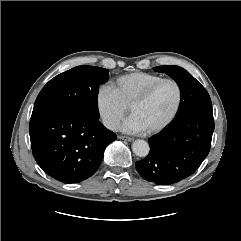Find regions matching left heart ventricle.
<instances>
[{
	"label": "left heart ventricle",
	"mask_w": 241,
	"mask_h": 241,
	"mask_svg": "<svg viewBox=\"0 0 241 241\" xmlns=\"http://www.w3.org/2000/svg\"><path fill=\"white\" fill-rule=\"evenodd\" d=\"M176 100V87L172 83H163L145 103L134 107L132 114L150 129L162 123L171 114Z\"/></svg>",
	"instance_id": "obj_1"
}]
</instances>
